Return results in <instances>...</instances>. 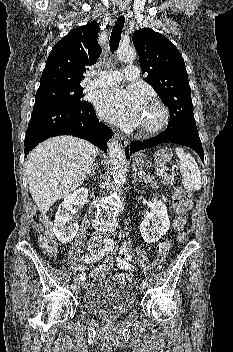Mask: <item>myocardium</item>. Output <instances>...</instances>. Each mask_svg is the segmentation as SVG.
<instances>
[{
  "label": "myocardium",
  "mask_w": 233,
  "mask_h": 352,
  "mask_svg": "<svg viewBox=\"0 0 233 352\" xmlns=\"http://www.w3.org/2000/svg\"><path fill=\"white\" fill-rule=\"evenodd\" d=\"M148 104L154 106L158 111V119L150 125H140L139 131L143 134H154L162 130L169 121V111L167 107L157 98H150Z\"/></svg>",
  "instance_id": "f54148a6"
}]
</instances>
